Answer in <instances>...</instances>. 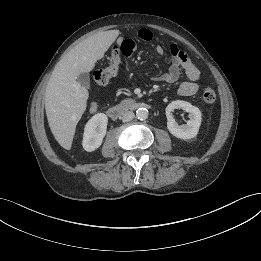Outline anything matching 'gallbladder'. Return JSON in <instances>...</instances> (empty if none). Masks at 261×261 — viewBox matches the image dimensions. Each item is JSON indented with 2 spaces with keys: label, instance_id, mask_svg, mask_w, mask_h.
<instances>
[{
  "label": "gallbladder",
  "instance_id": "bac80fb5",
  "mask_svg": "<svg viewBox=\"0 0 261 261\" xmlns=\"http://www.w3.org/2000/svg\"><path fill=\"white\" fill-rule=\"evenodd\" d=\"M77 81L83 87L88 88L90 86V77L88 73H81L77 76Z\"/></svg>",
  "mask_w": 261,
  "mask_h": 261
}]
</instances>
